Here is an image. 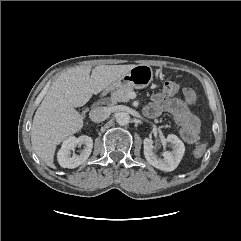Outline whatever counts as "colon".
<instances>
[{"instance_id":"1","label":"colon","mask_w":241,"mask_h":241,"mask_svg":"<svg viewBox=\"0 0 241 241\" xmlns=\"http://www.w3.org/2000/svg\"><path fill=\"white\" fill-rule=\"evenodd\" d=\"M162 93L167 97L176 96L180 93V87L177 83L168 81L163 85ZM205 152L206 146L204 144H200L194 149V155L196 157H202Z\"/></svg>"}]
</instances>
